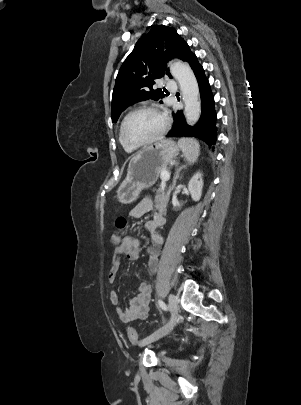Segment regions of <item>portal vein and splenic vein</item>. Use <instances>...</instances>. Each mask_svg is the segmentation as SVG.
Listing matches in <instances>:
<instances>
[{
    "label": "portal vein and splenic vein",
    "mask_w": 301,
    "mask_h": 405,
    "mask_svg": "<svg viewBox=\"0 0 301 405\" xmlns=\"http://www.w3.org/2000/svg\"><path fill=\"white\" fill-rule=\"evenodd\" d=\"M170 178V174L167 171H163L161 172V179L162 181H168Z\"/></svg>",
    "instance_id": "18ae733b"
}]
</instances>
